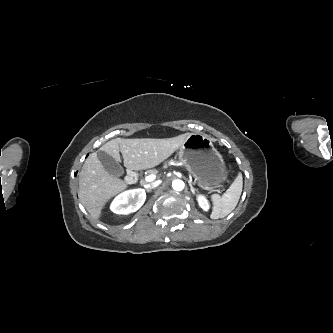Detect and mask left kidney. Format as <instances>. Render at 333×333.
Here are the masks:
<instances>
[{"mask_svg": "<svg viewBox=\"0 0 333 333\" xmlns=\"http://www.w3.org/2000/svg\"><path fill=\"white\" fill-rule=\"evenodd\" d=\"M197 201L199 206L204 210V211H208L210 205L208 200L205 198V196L199 195L197 197Z\"/></svg>", "mask_w": 333, "mask_h": 333, "instance_id": "1", "label": "left kidney"}]
</instances>
